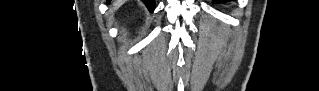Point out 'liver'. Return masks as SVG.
<instances>
[{
  "instance_id": "6515ba94",
  "label": "liver",
  "mask_w": 319,
  "mask_h": 91,
  "mask_svg": "<svg viewBox=\"0 0 319 91\" xmlns=\"http://www.w3.org/2000/svg\"><path fill=\"white\" fill-rule=\"evenodd\" d=\"M125 2V0H115L112 2V9L111 11L117 9L119 6H121L123 3Z\"/></svg>"
}]
</instances>
